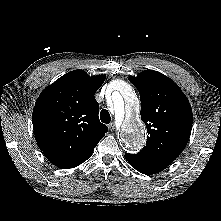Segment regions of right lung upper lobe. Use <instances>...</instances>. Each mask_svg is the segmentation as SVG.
Wrapping results in <instances>:
<instances>
[{"label":"right lung upper lobe","instance_id":"right-lung-upper-lobe-1","mask_svg":"<svg viewBox=\"0 0 221 221\" xmlns=\"http://www.w3.org/2000/svg\"><path fill=\"white\" fill-rule=\"evenodd\" d=\"M104 75L71 71L46 87L35 103L32 119L35 139L55 166L65 169L88 158L108 132L99 120L94 94Z\"/></svg>","mask_w":221,"mask_h":221}]
</instances>
